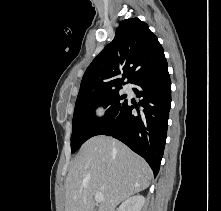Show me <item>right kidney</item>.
<instances>
[{
	"instance_id": "ca27d5eb",
	"label": "right kidney",
	"mask_w": 221,
	"mask_h": 211,
	"mask_svg": "<svg viewBox=\"0 0 221 211\" xmlns=\"http://www.w3.org/2000/svg\"><path fill=\"white\" fill-rule=\"evenodd\" d=\"M145 204V198L141 195H136L125 200L117 211H141Z\"/></svg>"
}]
</instances>
